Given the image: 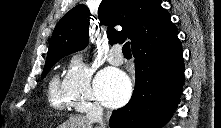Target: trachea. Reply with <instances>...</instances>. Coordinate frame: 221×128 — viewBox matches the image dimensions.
<instances>
[{
    "mask_svg": "<svg viewBox=\"0 0 221 128\" xmlns=\"http://www.w3.org/2000/svg\"><path fill=\"white\" fill-rule=\"evenodd\" d=\"M122 52L123 55L126 57H130L131 56V49H130V43L126 42L123 47H122Z\"/></svg>",
    "mask_w": 221,
    "mask_h": 128,
    "instance_id": "3493384b",
    "label": "trachea"
}]
</instances>
